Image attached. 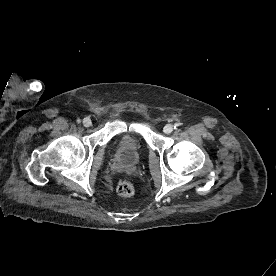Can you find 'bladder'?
<instances>
[{"instance_id": "obj_1", "label": "bladder", "mask_w": 276, "mask_h": 276, "mask_svg": "<svg viewBox=\"0 0 276 276\" xmlns=\"http://www.w3.org/2000/svg\"><path fill=\"white\" fill-rule=\"evenodd\" d=\"M114 144L116 158L122 164L132 166L140 160L144 144L138 134L126 132L118 137Z\"/></svg>"}]
</instances>
